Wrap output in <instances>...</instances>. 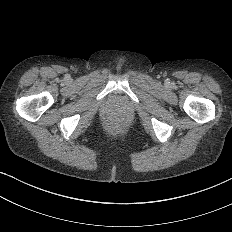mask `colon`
I'll use <instances>...</instances> for the list:
<instances>
[{"label":"colon","mask_w":232,"mask_h":232,"mask_svg":"<svg viewBox=\"0 0 232 232\" xmlns=\"http://www.w3.org/2000/svg\"><path fill=\"white\" fill-rule=\"evenodd\" d=\"M109 129L112 133L114 134H119L123 131L124 129V124L121 120L119 119H114L110 122L109 124Z\"/></svg>","instance_id":"colon-1"}]
</instances>
